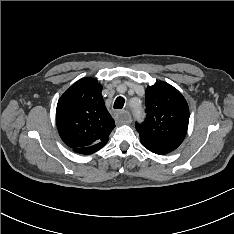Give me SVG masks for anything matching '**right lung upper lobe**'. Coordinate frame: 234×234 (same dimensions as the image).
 <instances>
[{
	"label": "right lung upper lobe",
	"mask_w": 234,
	"mask_h": 234,
	"mask_svg": "<svg viewBox=\"0 0 234 234\" xmlns=\"http://www.w3.org/2000/svg\"><path fill=\"white\" fill-rule=\"evenodd\" d=\"M102 86L94 78L74 83L58 101L56 123L64 143L73 150L103 146L115 123L101 94Z\"/></svg>",
	"instance_id": "right-lung-upper-lobe-1"
}]
</instances>
